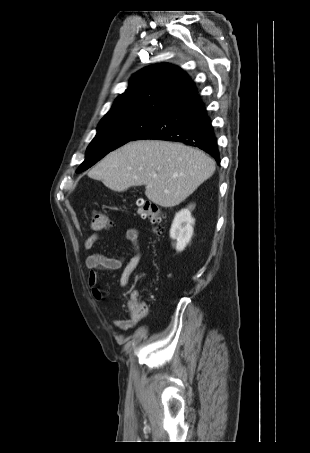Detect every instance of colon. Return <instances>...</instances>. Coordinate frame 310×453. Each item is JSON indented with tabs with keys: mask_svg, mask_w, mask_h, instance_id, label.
I'll use <instances>...</instances> for the list:
<instances>
[{
	"mask_svg": "<svg viewBox=\"0 0 310 453\" xmlns=\"http://www.w3.org/2000/svg\"><path fill=\"white\" fill-rule=\"evenodd\" d=\"M137 213L144 219L149 220L153 225H159L162 221L160 208L153 202L139 199L137 201ZM91 225L95 231L106 230L109 226L108 216L101 211H93ZM127 309L131 316L142 318L146 315L147 307L137 293H132L127 301Z\"/></svg>",
	"mask_w": 310,
	"mask_h": 453,
	"instance_id": "1",
	"label": "colon"
}]
</instances>
